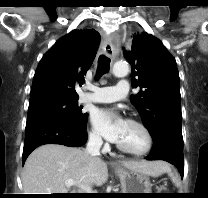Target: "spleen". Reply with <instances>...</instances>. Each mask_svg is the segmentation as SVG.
<instances>
[{
    "label": "spleen",
    "instance_id": "3e777b00",
    "mask_svg": "<svg viewBox=\"0 0 208 198\" xmlns=\"http://www.w3.org/2000/svg\"><path fill=\"white\" fill-rule=\"evenodd\" d=\"M165 171L168 173V175L171 177L172 182L178 186L179 185V180L177 178V176L172 172V170L170 169V167L168 165L165 166Z\"/></svg>",
    "mask_w": 208,
    "mask_h": 198
}]
</instances>
